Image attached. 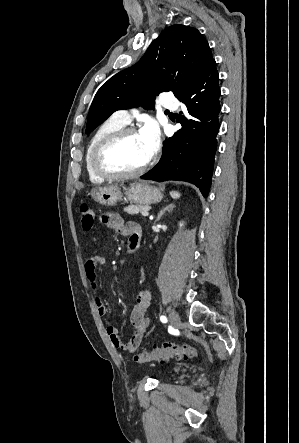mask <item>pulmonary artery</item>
Returning a JSON list of instances; mask_svg holds the SVG:
<instances>
[{"label":"pulmonary artery","mask_w":299,"mask_h":443,"mask_svg":"<svg viewBox=\"0 0 299 443\" xmlns=\"http://www.w3.org/2000/svg\"><path fill=\"white\" fill-rule=\"evenodd\" d=\"M159 104L166 109H175L177 106V100L173 94L164 93L159 98ZM112 118L123 125L128 124L131 120L130 112L128 110H118L112 115Z\"/></svg>","instance_id":"e3ab8cb5"}]
</instances>
